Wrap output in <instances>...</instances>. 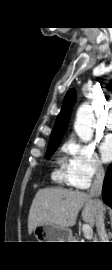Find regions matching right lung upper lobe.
Listing matches in <instances>:
<instances>
[{"mask_svg":"<svg viewBox=\"0 0 112 270\" xmlns=\"http://www.w3.org/2000/svg\"><path fill=\"white\" fill-rule=\"evenodd\" d=\"M109 89L110 90L112 89V83L109 84ZM75 98H76L75 90L74 89L69 90L65 96L61 112L56 118V122L50 136L49 144L61 141L62 136L66 132L68 126Z\"/></svg>","mask_w":112,"mask_h":270,"instance_id":"1","label":"right lung upper lobe"}]
</instances>
